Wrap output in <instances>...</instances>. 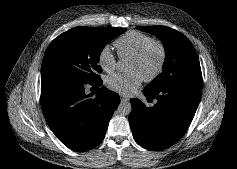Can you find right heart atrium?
Segmentation results:
<instances>
[{
    "instance_id": "d8ad5b80",
    "label": "right heart atrium",
    "mask_w": 237,
    "mask_h": 169,
    "mask_svg": "<svg viewBox=\"0 0 237 169\" xmlns=\"http://www.w3.org/2000/svg\"><path fill=\"white\" fill-rule=\"evenodd\" d=\"M98 62L105 72H112L116 67V57L112 48L105 45L101 48L98 54Z\"/></svg>"
}]
</instances>
